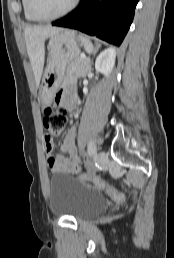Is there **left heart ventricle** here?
I'll use <instances>...</instances> for the list:
<instances>
[{
	"instance_id": "b2bd125f",
	"label": "left heart ventricle",
	"mask_w": 174,
	"mask_h": 258,
	"mask_svg": "<svg viewBox=\"0 0 174 258\" xmlns=\"http://www.w3.org/2000/svg\"><path fill=\"white\" fill-rule=\"evenodd\" d=\"M72 0H33V6L42 16L56 15L65 10Z\"/></svg>"
}]
</instances>
